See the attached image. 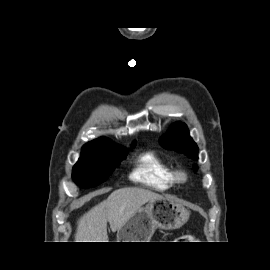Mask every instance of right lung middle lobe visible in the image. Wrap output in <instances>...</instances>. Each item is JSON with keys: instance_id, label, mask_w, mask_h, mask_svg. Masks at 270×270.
Instances as JSON below:
<instances>
[{"instance_id": "obj_1", "label": "right lung middle lobe", "mask_w": 270, "mask_h": 270, "mask_svg": "<svg viewBox=\"0 0 270 270\" xmlns=\"http://www.w3.org/2000/svg\"><path fill=\"white\" fill-rule=\"evenodd\" d=\"M126 155V150L117 145L82 149L81 157L73 167L72 178L81 187H95L108 178Z\"/></svg>"}]
</instances>
